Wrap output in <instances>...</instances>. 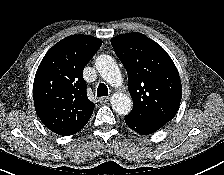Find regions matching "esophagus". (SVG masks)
Returning a JSON list of instances; mask_svg holds the SVG:
<instances>
[{
  "instance_id": "1",
  "label": "esophagus",
  "mask_w": 224,
  "mask_h": 175,
  "mask_svg": "<svg viewBox=\"0 0 224 175\" xmlns=\"http://www.w3.org/2000/svg\"><path fill=\"white\" fill-rule=\"evenodd\" d=\"M109 100H110V97L104 96L99 99V102L101 104H105V103L109 102Z\"/></svg>"
}]
</instances>
